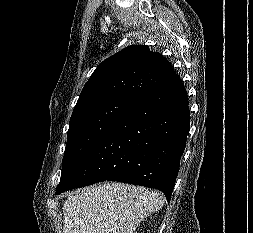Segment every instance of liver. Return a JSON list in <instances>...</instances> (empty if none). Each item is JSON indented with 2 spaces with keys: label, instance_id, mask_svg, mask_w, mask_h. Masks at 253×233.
<instances>
[{
  "label": "liver",
  "instance_id": "1",
  "mask_svg": "<svg viewBox=\"0 0 253 233\" xmlns=\"http://www.w3.org/2000/svg\"><path fill=\"white\" fill-rule=\"evenodd\" d=\"M158 191L124 183L84 188L63 204V233H133L150 214L162 208Z\"/></svg>",
  "mask_w": 253,
  "mask_h": 233
}]
</instances>
